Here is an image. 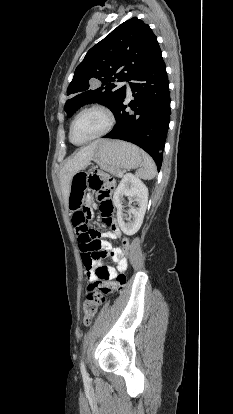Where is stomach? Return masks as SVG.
Returning <instances> with one entry per match:
<instances>
[{"mask_svg": "<svg viewBox=\"0 0 233 414\" xmlns=\"http://www.w3.org/2000/svg\"><path fill=\"white\" fill-rule=\"evenodd\" d=\"M97 147L92 160L106 171L134 169L142 165V151L130 143L116 140L96 141ZM87 171L76 172L71 180L68 207L76 209L82 204V197L87 187Z\"/></svg>", "mask_w": 233, "mask_h": 414, "instance_id": "1", "label": "stomach"}]
</instances>
